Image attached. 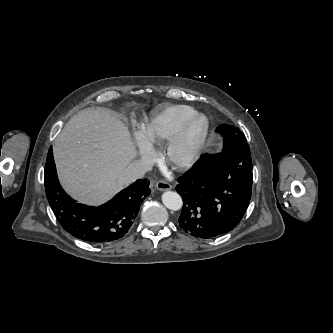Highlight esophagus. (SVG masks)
<instances>
[{
	"mask_svg": "<svg viewBox=\"0 0 333 333\" xmlns=\"http://www.w3.org/2000/svg\"><path fill=\"white\" fill-rule=\"evenodd\" d=\"M156 188L160 191H166L172 189V186L169 183L161 180L156 183Z\"/></svg>",
	"mask_w": 333,
	"mask_h": 333,
	"instance_id": "34e87169",
	"label": "esophagus"
}]
</instances>
